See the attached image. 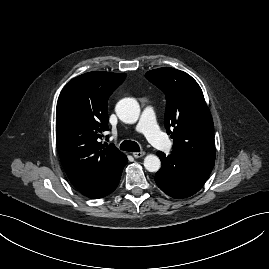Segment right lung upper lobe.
Returning <instances> with one entry per match:
<instances>
[{"mask_svg": "<svg viewBox=\"0 0 269 269\" xmlns=\"http://www.w3.org/2000/svg\"><path fill=\"white\" fill-rule=\"evenodd\" d=\"M125 78V73H85L72 79L59 96L56 143L63 168L77 189L103 180L126 159L113 145L100 142L108 130V98Z\"/></svg>", "mask_w": 269, "mask_h": 269, "instance_id": "cb5924a9", "label": "right lung upper lobe"}]
</instances>
